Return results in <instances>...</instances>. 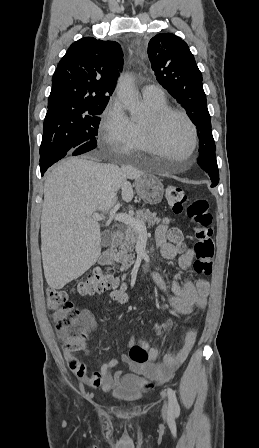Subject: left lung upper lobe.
Instances as JSON below:
<instances>
[{"label": "left lung upper lobe", "mask_w": 259, "mask_h": 448, "mask_svg": "<svg viewBox=\"0 0 259 448\" xmlns=\"http://www.w3.org/2000/svg\"><path fill=\"white\" fill-rule=\"evenodd\" d=\"M148 56L157 81L176 98L196 125L199 154L216 149L202 74L186 42L171 33L158 34L149 41Z\"/></svg>", "instance_id": "obj_1"}]
</instances>
